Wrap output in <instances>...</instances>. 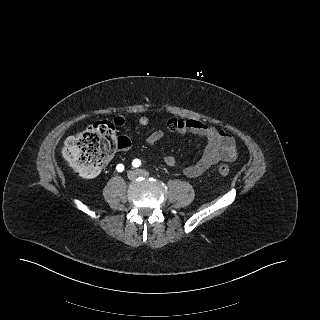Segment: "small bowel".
I'll use <instances>...</instances> for the list:
<instances>
[{
	"mask_svg": "<svg viewBox=\"0 0 320 320\" xmlns=\"http://www.w3.org/2000/svg\"><path fill=\"white\" fill-rule=\"evenodd\" d=\"M141 126L149 123L147 117L142 116L138 120ZM115 123L119 126L125 123L123 117H117ZM166 128L170 132L190 133L201 136L206 140V146L200 158L184 168V174L189 178H197L201 176L212 165L224 161L231 162L237 157L236 145L234 138L223 130H217L211 125H207L198 120L171 117L167 120ZM165 136V131L157 129L151 132L146 143L149 146L155 145ZM164 162L170 167H174L177 163L175 157L165 156Z\"/></svg>",
	"mask_w": 320,
	"mask_h": 320,
	"instance_id": "c3829d8e",
	"label": "small bowel"
}]
</instances>
